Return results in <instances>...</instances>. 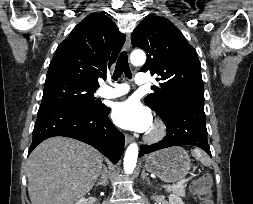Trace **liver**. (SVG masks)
Returning <instances> with one entry per match:
<instances>
[{"instance_id":"obj_1","label":"liver","mask_w":253,"mask_h":204,"mask_svg":"<svg viewBox=\"0 0 253 204\" xmlns=\"http://www.w3.org/2000/svg\"><path fill=\"white\" fill-rule=\"evenodd\" d=\"M31 204H72L88 193L103 169V156L72 138L43 141L27 161Z\"/></svg>"}]
</instances>
